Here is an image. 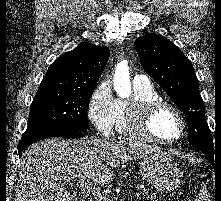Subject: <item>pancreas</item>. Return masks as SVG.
<instances>
[{"label":"pancreas","mask_w":221,"mask_h":201,"mask_svg":"<svg viewBox=\"0 0 221 201\" xmlns=\"http://www.w3.org/2000/svg\"><path fill=\"white\" fill-rule=\"evenodd\" d=\"M146 199H150L151 201H161V199L156 198V195L154 193H146ZM107 201H112L109 198L107 199Z\"/></svg>","instance_id":"pancreas-1"}]
</instances>
